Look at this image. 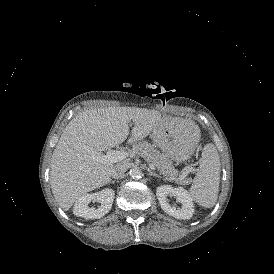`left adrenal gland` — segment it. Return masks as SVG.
<instances>
[{"mask_svg": "<svg viewBox=\"0 0 274 274\" xmlns=\"http://www.w3.org/2000/svg\"><path fill=\"white\" fill-rule=\"evenodd\" d=\"M147 174H149L150 176H154V177H157V178H160V179H163L162 176L156 174L155 172H153L151 169H148V172Z\"/></svg>", "mask_w": 274, "mask_h": 274, "instance_id": "1", "label": "left adrenal gland"}]
</instances>
